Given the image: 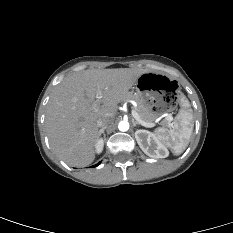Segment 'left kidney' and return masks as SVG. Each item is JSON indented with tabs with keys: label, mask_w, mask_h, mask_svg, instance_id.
<instances>
[{
	"label": "left kidney",
	"mask_w": 233,
	"mask_h": 233,
	"mask_svg": "<svg viewBox=\"0 0 233 233\" xmlns=\"http://www.w3.org/2000/svg\"><path fill=\"white\" fill-rule=\"evenodd\" d=\"M135 138L142 151L152 158H166L168 149L163 145L156 135L147 130H137Z\"/></svg>",
	"instance_id": "5707ae66"
}]
</instances>
